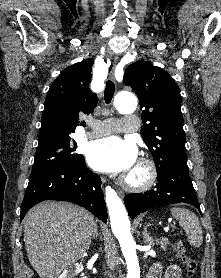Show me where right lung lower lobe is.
I'll return each instance as SVG.
<instances>
[{"label": "right lung lower lobe", "instance_id": "98d812e1", "mask_svg": "<svg viewBox=\"0 0 221 278\" xmlns=\"http://www.w3.org/2000/svg\"><path fill=\"white\" fill-rule=\"evenodd\" d=\"M44 200L73 202L107 222L100 177L87 169L85 161L79 165L55 167L29 178L20 220L31 207Z\"/></svg>", "mask_w": 221, "mask_h": 278}]
</instances>
